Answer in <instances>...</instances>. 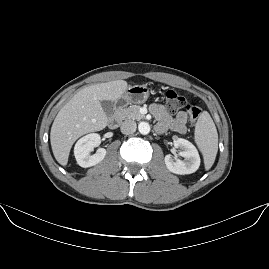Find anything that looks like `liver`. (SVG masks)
<instances>
[{
  "label": "liver",
  "mask_w": 269,
  "mask_h": 269,
  "mask_svg": "<svg viewBox=\"0 0 269 269\" xmlns=\"http://www.w3.org/2000/svg\"><path fill=\"white\" fill-rule=\"evenodd\" d=\"M126 89L124 80L91 85L80 90L63 106L50 133L53 154L58 163L67 165L70 149L80 136L107 126L108 118L101 101H117Z\"/></svg>",
  "instance_id": "6515ba94"
}]
</instances>
